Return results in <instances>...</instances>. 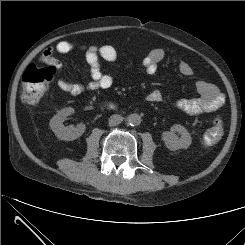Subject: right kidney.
Masks as SVG:
<instances>
[{
    "label": "right kidney",
    "instance_id": "1",
    "mask_svg": "<svg viewBox=\"0 0 245 245\" xmlns=\"http://www.w3.org/2000/svg\"><path fill=\"white\" fill-rule=\"evenodd\" d=\"M74 113V109L67 107L58 111L56 115L50 120V127L55 135L65 141H73L79 138L85 132V125L79 124L75 126H64L63 121L65 118Z\"/></svg>",
    "mask_w": 245,
    "mask_h": 245
}]
</instances>
